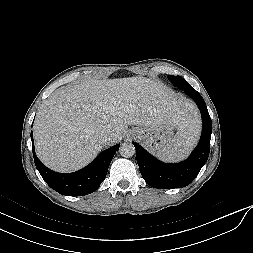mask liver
Masks as SVG:
<instances>
[{
    "label": "liver",
    "instance_id": "obj_1",
    "mask_svg": "<svg viewBox=\"0 0 253 253\" xmlns=\"http://www.w3.org/2000/svg\"><path fill=\"white\" fill-rule=\"evenodd\" d=\"M192 110L148 78L81 81L57 89L41 105L34 123L36 154L52 170L75 171L115 144L128 125L168 122L179 128ZM105 131L111 138L103 144L99 135Z\"/></svg>",
    "mask_w": 253,
    "mask_h": 253
}]
</instances>
